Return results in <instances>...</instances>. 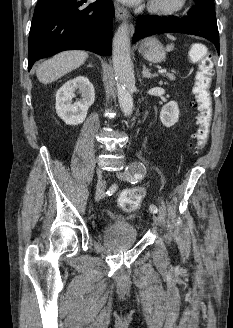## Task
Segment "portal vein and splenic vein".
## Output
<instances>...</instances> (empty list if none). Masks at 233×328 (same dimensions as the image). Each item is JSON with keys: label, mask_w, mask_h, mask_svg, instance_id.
<instances>
[{"label": "portal vein and splenic vein", "mask_w": 233, "mask_h": 328, "mask_svg": "<svg viewBox=\"0 0 233 328\" xmlns=\"http://www.w3.org/2000/svg\"><path fill=\"white\" fill-rule=\"evenodd\" d=\"M158 72L162 74V73H166L167 70L166 69H160V70H158Z\"/></svg>", "instance_id": "1"}]
</instances>
